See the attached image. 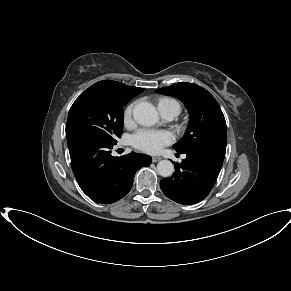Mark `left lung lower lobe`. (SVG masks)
<instances>
[{"instance_id": "left-lung-lower-lobe-1", "label": "left lung lower lobe", "mask_w": 291, "mask_h": 291, "mask_svg": "<svg viewBox=\"0 0 291 291\" xmlns=\"http://www.w3.org/2000/svg\"><path fill=\"white\" fill-rule=\"evenodd\" d=\"M181 163H174L175 172L160 182L163 193L180 204L203 200L213 188L220 173L224 152L191 150Z\"/></svg>"}]
</instances>
